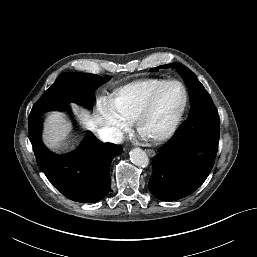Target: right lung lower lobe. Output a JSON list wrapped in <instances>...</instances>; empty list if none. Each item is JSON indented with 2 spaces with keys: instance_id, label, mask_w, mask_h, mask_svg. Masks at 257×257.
I'll return each mask as SVG.
<instances>
[{
  "instance_id": "obj_1",
  "label": "right lung lower lobe",
  "mask_w": 257,
  "mask_h": 257,
  "mask_svg": "<svg viewBox=\"0 0 257 257\" xmlns=\"http://www.w3.org/2000/svg\"><path fill=\"white\" fill-rule=\"evenodd\" d=\"M40 120L30 128L29 136L36 159L52 185L76 202L93 203L104 198L110 189V164L122 148L95 139L85 153L68 160L43 145L38 137Z\"/></svg>"
}]
</instances>
